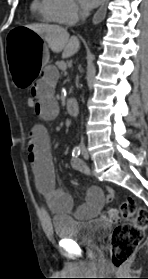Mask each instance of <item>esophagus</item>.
I'll list each match as a JSON object with an SVG mask.
<instances>
[{
    "label": "esophagus",
    "mask_w": 148,
    "mask_h": 279,
    "mask_svg": "<svg viewBox=\"0 0 148 279\" xmlns=\"http://www.w3.org/2000/svg\"><path fill=\"white\" fill-rule=\"evenodd\" d=\"M108 1L109 0H103L101 6L99 7V9L94 14L93 19H92V22H93L94 25L99 24L105 18Z\"/></svg>",
    "instance_id": "esophagus-1"
}]
</instances>
